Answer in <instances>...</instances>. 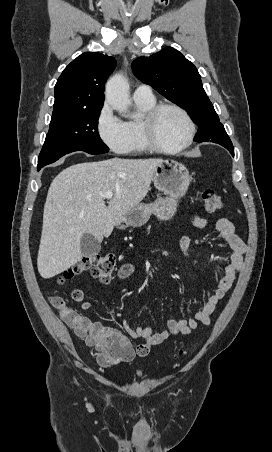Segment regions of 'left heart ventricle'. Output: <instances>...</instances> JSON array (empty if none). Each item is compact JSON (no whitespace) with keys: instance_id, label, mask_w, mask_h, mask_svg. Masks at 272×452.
Wrapping results in <instances>:
<instances>
[{"instance_id":"1","label":"left heart ventricle","mask_w":272,"mask_h":452,"mask_svg":"<svg viewBox=\"0 0 272 452\" xmlns=\"http://www.w3.org/2000/svg\"><path fill=\"white\" fill-rule=\"evenodd\" d=\"M187 125L180 113L165 109L159 113L154 122V137L166 147L180 144L186 137Z\"/></svg>"}]
</instances>
